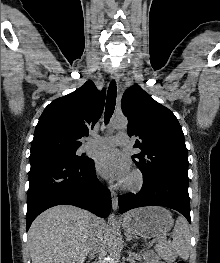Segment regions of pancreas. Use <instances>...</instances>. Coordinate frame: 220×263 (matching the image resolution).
<instances>
[{
	"label": "pancreas",
	"mask_w": 220,
	"mask_h": 263,
	"mask_svg": "<svg viewBox=\"0 0 220 263\" xmlns=\"http://www.w3.org/2000/svg\"><path fill=\"white\" fill-rule=\"evenodd\" d=\"M158 253L166 260H173L172 253L170 251V244L161 243L156 247Z\"/></svg>",
	"instance_id": "1"
}]
</instances>
